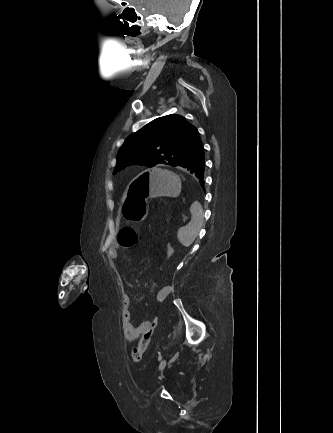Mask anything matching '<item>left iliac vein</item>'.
I'll list each match as a JSON object with an SVG mask.
<instances>
[{"mask_svg":"<svg viewBox=\"0 0 333 433\" xmlns=\"http://www.w3.org/2000/svg\"><path fill=\"white\" fill-rule=\"evenodd\" d=\"M166 363H167L166 360H162L161 363H160V365H159V369L163 370L165 368V366H166Z\"/></svg>","mask_w":333,"mask_h":433,"instance_id":"1","label":"left iliac vein"}]
</instances>
